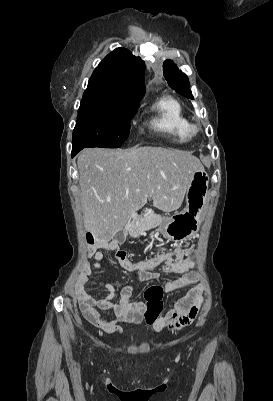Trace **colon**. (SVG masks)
<instances>
[{"instance_id":"5ec220e1","label":"colon","mask_w":273,"mask_h":401,"mask_svg":"<svg viewBox=\"0 0 273 401\" xmlns=\"http://www.w3.org/2000/svg\"><path fill=\"white\" fill-rule=\"evenodd\" d=\"M90 256H94L95 252L90 251ZM82 274H88V269H82ZM77 286L82 287L85 284L84 279L79 278L76 281ZM145 310L144 318L148 326H153L162 316L164 310V290L160 285H150L145 289ZM75 297H96L97 290L92 285L87 284L84 288H75L73 291ZM171 321L168 322L170 325Z\"/></svg>"}]
</instances>
